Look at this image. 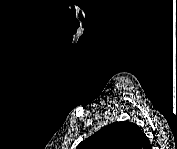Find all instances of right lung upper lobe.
<instances>
[{
    "label": "right lung upper lobe",
    "instance_id": "cb5924a9",
    "mask_svg": "<svg viewBox=\"0 0 177 149\" xmlns=\"http://www.w3.org/2000/svg\"><path fill=\"white\" fill-rule=\"evenodd\" d=\"M146 135L128 121L114 122L82 141L77 149H144Z\"/></svg>",
    "mask_w": 177,
    "mask_h": 149
}]
</instances>
